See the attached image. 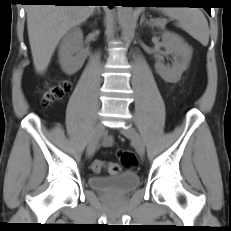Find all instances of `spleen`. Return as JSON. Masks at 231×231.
I'll use <instances>...</instances> for the list:
<instances>
[{"label":"spleen","mask_w":231,"mask_h":231,"mask_svg":"<svg viewBox=\"0 0 231 231\" xmlns=\"http://www.w3.org/2000/svg\"><path fill=\"white\" fill-rule=\"evenodd\" d=\"M164 15L178 21V26L203 46L209 42V26L204 14L198 8L164 7L160 8Z\"/></svg>","instance_id":"spleen-1"}]
</instances>
